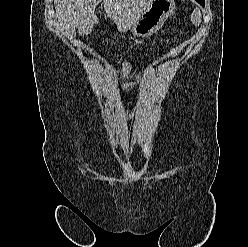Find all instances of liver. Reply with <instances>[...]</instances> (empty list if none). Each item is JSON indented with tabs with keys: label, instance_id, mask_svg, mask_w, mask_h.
<instances>
[{
	"label": "liver",
	"instance_id": "obj_1",
	"mask_svg": "<svg viewBox=\"0 0 248 247\" xmlns=\"http://www.w3.org/2000/svg\"><path fill=\"white\" fill-rule=\"evenodd\" d=\"M102 1L107 16L116 23L118 30H129L150 0H54L63 34L71 40L76 35L75 28L80 34L90 33L99 22L94 11Z\"/></svg>",
	"mask_w": 248,
	"mask_h": 247
}]
</instances>
